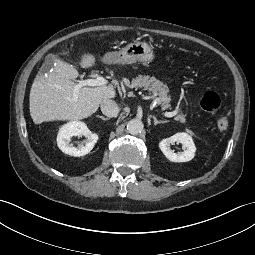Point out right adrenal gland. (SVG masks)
<instances>
[{
	"instance_id": "2a0ac1e0",
	"label": "right adrenal gland",
	"mask_w": 255,
	"mask_h": 255,
	"mask_svg": "<svg viewBox=\"0 0 255 255\" xmlns=\"http://www.w3.org/2000/svg\"><path fill=\"white\" fill-rule=\"evenodd\" d=\"M98 118L102 119L103 121L109 120V118H106V117H104V116H98Z\"/></svg>"
}]
</instances>
